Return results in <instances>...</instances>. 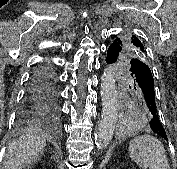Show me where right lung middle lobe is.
Segmentation results:
<instances>
[{
  "mask_svg": "<svg viewBox=\"0 0 177 169\" xmlns=\"http://www.w3.org/2000/svg\"><path fill=\"white\" fill-rule=\"evenodd\" d=\"M58 120V118L57 119H55V120H53V121H57Z\"/></svg>",
  "mask_w": 177,
  "mask_h": 169,
  "instance_id": "1",
  "label": "right lung middle lobe"
}]
</instances>
